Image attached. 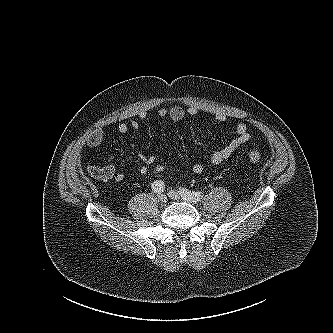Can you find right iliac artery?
<instances>
[{
  "instance_id": "1",
  "label": "right iliac artery",
  "mask_w": 333,
  "mask_h": 333,
  "mask_svg": "<svg viewBox=\"0 0 333 333\" xmlns=\"http://www.w3.org/2000/svg\"><path fill=\"white\" fill-rule=\"evenodd\" d=\"M152 189L154 190V192L160 194L164 191L165 185L161 180H156L152 183Z\"/></svg>"
}]
</instances>
